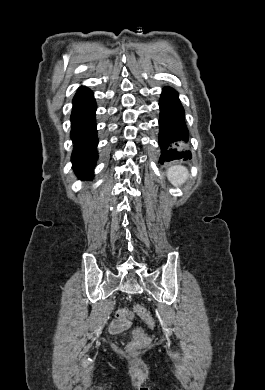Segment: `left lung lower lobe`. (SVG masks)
<instances>
[{
  "label": "left lung lower lobe",
  "instance_id": "0a47b994",
  "mask_svg": "<svg viewBox=\"0 0 265 390\" xmlns=\"http://www.w3.org/2000/svg\"><path fill=\"white\" fill-rule=\"evenodd\" d=\"M159 106V146L161 148L159 162L191 159V152L186 148L189 132L178 93L170 87L163 88Z\"/></svg>",
  "mask_w": 265,
  "mask_h": 390
}]
</instances>
